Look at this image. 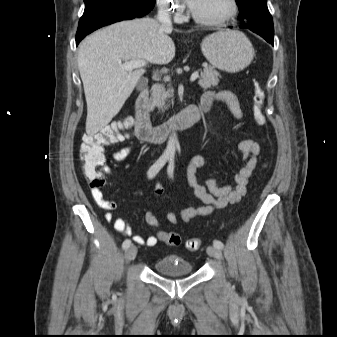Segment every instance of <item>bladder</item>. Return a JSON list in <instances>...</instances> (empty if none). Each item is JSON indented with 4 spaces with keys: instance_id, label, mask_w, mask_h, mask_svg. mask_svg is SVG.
<instances>
[{
    "instance_id": "obj_1",
    "label": "bladder",
    "mask_w": 337,
    "mask_h": 337,
    "mask_svg": "<svg viewBox=\"0 0 337 337\" xmlns=\"http://www.w3.org/2000/svg\"><path fill=\"white\" fill-rule=\"evenodd\" d=\"M154 267L158 274L164 276L176 277L193 273L192 264L178 255L163 256L155 262Z\"/></svg>"
}]
</instances>
